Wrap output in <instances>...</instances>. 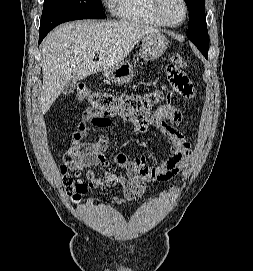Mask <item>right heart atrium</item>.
<instances>
[{
	"label": "right heart atrium",
	"instance_id": "1",
	"mask_svg": "<svg viewBox=\"0 0 253 271\" xmlns=\"http://www.w3.org/2000/svg\"><path fill=\"white\" fill-rule=\"evenodd\" d=\"M105 1L110 2V1H112V0H105Z\"/></svg>",
	"mask_w": 253,
	"mask_h": 271
}]
</instances>
